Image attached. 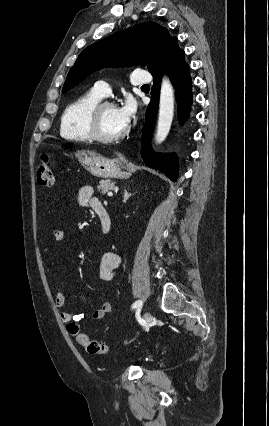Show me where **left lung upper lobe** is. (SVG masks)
Here are the masks:
<instances>
[{
    "instance_id": "left-lung-upper-lobe-1",
    "label": "left lung upper lobe",
    "mask_w": 269,
    "mask_h": 426,
    "mask_svg": "<svg viewBox=\"0 0 269 426\" xmlns=\"http://www.w3.org/2000/svg\"><path fill=\"white\" fill-rule=\"evenodd\" d=\"M176 37L155 22H144L117 32L85 48L70 69L62 92L104 67L148 64L150 70Z\"/></svg>"
}]
</instances>
